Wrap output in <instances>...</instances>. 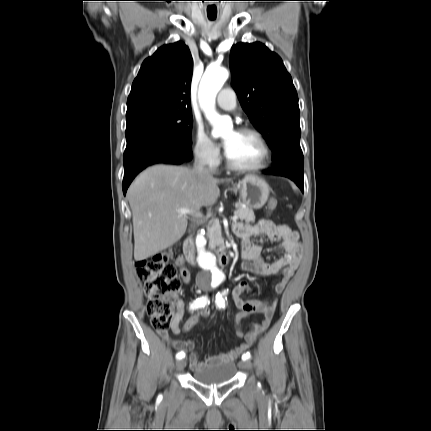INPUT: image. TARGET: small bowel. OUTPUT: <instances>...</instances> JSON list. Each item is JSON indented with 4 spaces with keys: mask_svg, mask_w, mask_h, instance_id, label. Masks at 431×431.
I'll use <instances>...</instances> for the list:
<instances>
[{
    "mask_svg": "<svg viewBox=\"0 0 431 431\" xmlns=\"http://www.w3.org/2000/svg\"><path fill=\"white\" fill-rule=\"evenodd\" d=\"M234 231L241 238V255L243 258L241 270L250 272L259 277L280 274L281 279L275 285V292L277 294L282 293L299 263L298 234L292 231L288 226L275 224L270 220H260L254 225L238 224L234 227ZM259 235H266L270 240L278 241L280 247L284 251V255L274 262H266L261 256V245L251 240L253 236ZM176 262L183 281L186 284L190 283L191 274L185 266L184 260L178 258ZM250 291L251 286L249 283L244 280L240 281L231 291L232 300L239 310H247L249 316L253 314H262L263 319L253 324L251 331L245 333L244 337H242V339H244L243 343L226 353L200 359L199 353L195 350L192 340L173 339L168 330H158V334L177 351L183 352L184 354L189 352L190 367L193 370L232 362L247 351L258 336L269 327L277 306V300L268 303L262 300L245 299L243 296ZM174 303L176 311L170 322L169 330L172 334L178 335L183 332V328H180V322L183 318L185 307L181 299H175Z\"/></svg>",
    "mask_w": 431,
    "mask_h": 431,
    "instance_id": "1",
    "label": "small bowel"
}]
</instances>
